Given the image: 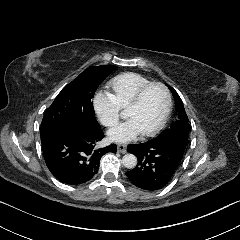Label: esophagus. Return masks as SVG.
I'll return each mask as SVG.
<instances>
[{"label": "esophagus", "instance_id": "obj_1", "mask_svg": "<svg viewBox=\"0 0 240 240\" xmlns=\"http://www.w3.org/2000/svg\"><path fill=\"white\" fill-rule=\"evenodd\" d=\"M117 151L120 153H126L127 151V145L126 144H118L117 145Z\"/></svg>", "mask_w": 240, "mask_h": 240}]
</instances>
